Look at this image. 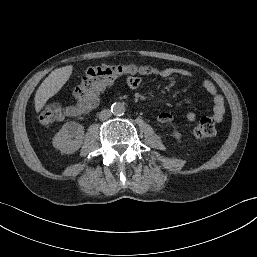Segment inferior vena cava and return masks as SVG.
Here are the masks:
<instances>
[{
    "label": "inferior vena cava",
    "instance_id": "obj_1",
    "mask_svg": "<svg viewBox=\"0 0 257 257\" xmlns=\"http://www.w3.org/2000/svg\"><path fill=\"white\" fill-rule=\"evenodd\" d=\"M112 115L111 111L109 109H104L99 113V119L101 121L103 120H107L108 118H110Z\"/></svg>",
    "mask_w": 257,
    "mask_h": 257
}]
</instances>
